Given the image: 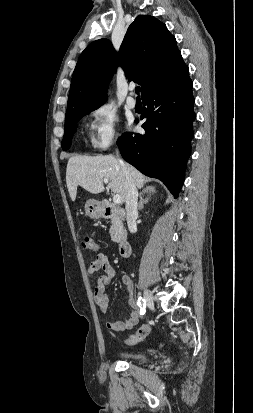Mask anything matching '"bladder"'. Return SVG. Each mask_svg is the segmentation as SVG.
Returning a JSON list of instances; mask_svg holds the SVG:
<instances>
[{"label": "bladder", "instance_id": "obj_1", "mask_svg": "<svg viewBox=\"0 0 253 413\" xmlns=\"http://www.w3.org/2000/svg\"><path fill=\"white\" fill-rule=\"evenodd\" d=\"M118 355L124 360L133 361L140 364H144L149 361V358L146 355L140 353H119Z\"/></svg>", "mask_w": 253, "mask_h": 413}]
</instances>
